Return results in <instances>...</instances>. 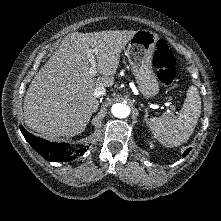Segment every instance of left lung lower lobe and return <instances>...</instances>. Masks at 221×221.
<instances>
[{
	"label": "left lung lower lobe",
	"instance_id": "1",
	"mask_svg": "<svg viewBox=\"0 0 221 221\" xmlns=\"http://www.w3.org/2000/svg\"><path fill=\"white\" fill-rule=\"evenodd\" d=\"M190 150H191V148H188V149L185 151V153L183 154V156L185 157V156L189 153Z\"/></svg>",
	"mask_w": 221,
	"mask_h": 221
}]
</instances>
